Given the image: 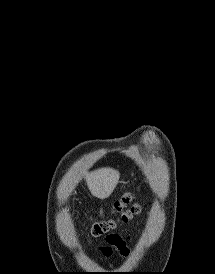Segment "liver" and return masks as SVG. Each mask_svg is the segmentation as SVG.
Segmentation results:
<instances>
[{
	"label": "liver",
	"instance_id": "1",
	"mask_svg": "<svg viewBox=\"0 0 215 274\" xmlns=\"http://www.w3.org/2000/svg\"><path fill=\"white\" fill-rule=\"evenodd\" d=\"M119 172L112 168H102L89 173L86 183L91 194L99 199L109 197L115 189Z\"/></svg>",
	"mask_w": 215,
	"mask_h": 274
}]
</instances>
